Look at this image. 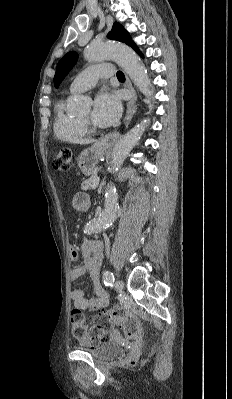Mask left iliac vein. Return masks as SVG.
<instances>
[{"mask_svg": "<svg viewBox=\"0 0 232 399\" xmlns=\"http://www.w3.org/2000/svg\"><path fill=\"white\" fill-rule=\"evenodd\" d=\"M113 285H114V288L117 289L118 292H121L122 289L125 288V285L123 284V281H114Z\"/></svg>", "mask_w": 232, "mask_h": 399, "instance_id": "obj_1", "label": "left iliac vein"}]
</instances>
